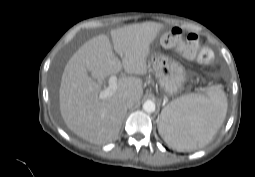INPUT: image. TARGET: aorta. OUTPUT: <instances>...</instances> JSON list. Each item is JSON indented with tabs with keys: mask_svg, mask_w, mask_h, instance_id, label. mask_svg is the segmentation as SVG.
Instances as JSON below:
<instances>
[{
	"mask_svg": "<svg viewBox=\"0 0 255 177\" xmlns=\"http://www.w3.org/2000/svg\"><path fill=\"white\" fill-rule=\"evenodd\" d=\"M156 109V104L152 100H147L143 104V110L147 113H153Z\"/></svg>",
	"mask_w": 255,
	"mask_h": 177,
	"instance_id": "1",
	"label": "aorta"
}]
</instances>
